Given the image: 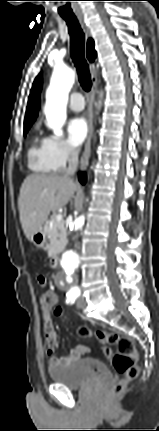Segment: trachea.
<instances>
[{"mask_svg": "<svg viewBox=\"0 0 159 431\" xmlns=\"http://www.w3.org/2000/svg\"><path fill=\"white\" fill-rule=\"evenodd\" d=\"M63 19L68 26L71 57L77 69L80 85L88 92L91 89L92 81L84 56L85 35L76 17H63Z\"/></svg>", "mask_w": 159, "mask_h": 431, "instance_id": "trachea-1", "label": "trachea"}]
</instances>
